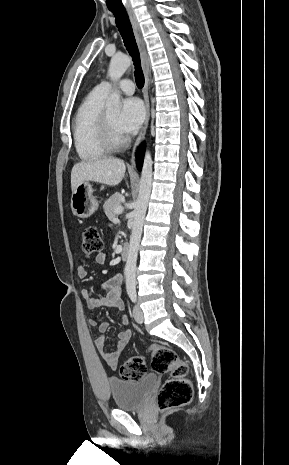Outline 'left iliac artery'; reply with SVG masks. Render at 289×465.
Listing matches in <instances>:
<instances>
[{
    "label": "left iliac artery",
    "instance_id": "obj_1",
    "mask_svg": "<svg viewBox=\"0 0 289 465\" xmlns=\"http://www.w3.org/2000/svg\"><path fill=\"white\" fill-rule=\"evenodd\" d=\"M129 297H130L132 302H136L137 295H136L135 291L129 292Z\"/></svg>",
    "mask_w": 289,
    "mask_h": 465
}]
</instances>
